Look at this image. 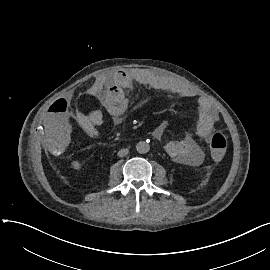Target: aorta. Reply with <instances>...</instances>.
<instances>
[{
    "instance_id": "obj_1",
    "label": "aorta",
    "mask_w": 270,
    "mask_h": 270,
    "mask_svg": "<svg viewBox=\"0 0 270 270\" xmlns=\"http://www.w3.org/2000/svg\"><path fill=\"white\" fill-rule=\"evenodd\" d=\"M136 149L140 154H145L147 152H149L150 150V145L149 143L145 142V141H140L137 145H136Z\"/></svg>"
}]
</instances>
